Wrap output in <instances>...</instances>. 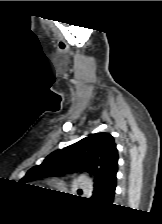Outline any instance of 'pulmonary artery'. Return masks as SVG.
Instances as JSON below:
<instances>
[{"label":"pulmonary artery","instance_id":"1","mask_svg":"<svg viewBox=\"0 0 162 224\" xmlns=\"http://www.w3.org/2000/svg\"><path fill=\"white\" fill-rule=\"evenodd\" d=\"M78 184L81 188H88L90 187L89 180L86 176L81 175L78 179Z\"/></svg>","mask_w":162,"mask_h":224}]
</instances>
